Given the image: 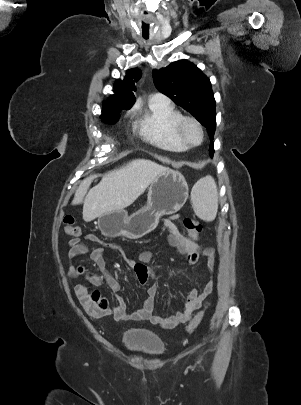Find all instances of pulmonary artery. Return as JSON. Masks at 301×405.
Masks as SVG:
<instances>
[{
  "label": "pulmonary artery",
  "instance_id": "1",
  "mask_svg": "<svg viewBox=\"0 0 301 405\" xmlns=\"http://www.w3.org/2000/svg\"><path fill=\"white\" fill-rule=\"evenodd\" d=\"M152 102H156V103H162V104H171L170 103V99L167 97V96H165V95H163V94H160V93H155V94H153L152 96H151V99H150Z\"/></svg>",
  "mask_w": 301,
  "mask_h": 405
}]
</instances>
